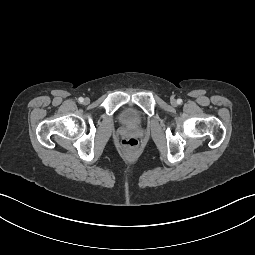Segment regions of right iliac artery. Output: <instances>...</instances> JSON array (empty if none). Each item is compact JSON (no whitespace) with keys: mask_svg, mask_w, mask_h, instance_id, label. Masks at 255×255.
Masks as SVG:
<instances>
[{"mask_svg":"<svg viewBox=\"0 0 255 255\" xmlns=\"http://www.w3.org/2000/svg\"><path fill=\"white\" fill-rule=\"evenodd\" d=\"M78 101H79L80 103H82V102L84 101V99H83L82 97H80V98L78 99Z\"/></svg>","mask_w":255,"mask_h":255,"instance_id":"82829eb1","label":"right iliac artery"}]
</instances>
